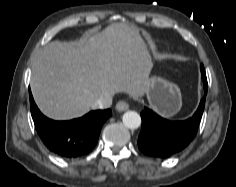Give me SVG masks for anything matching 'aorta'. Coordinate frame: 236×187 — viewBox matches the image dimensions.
Returning <instances> with one entry per match:
<instances>
[{"label":"aorta","instance_id":"762f6f07","mask_svg":"<svg viewBox=\"0 0 236 187\" xmlns=\"http://www.w3.org/2000/svg\"><path fill=\"white\" fill-rule=\"evenodd\" d=\"M123 124L129 129H137L141 125V117L135 111H127L122 117Z\"/></svg>","mask_w":236,"mask_h":187}]
</instances>
